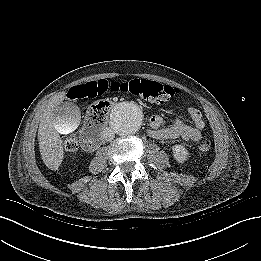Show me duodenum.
Masks as SVG:
<instances>
[{
  "instance_id": "duodenum-1",
  "label": "duodenum",
  "mask_w": 261,
  "mask_h": 261,
  "mask_svg": "<svg viewBox=\"0 0 261 261\" xmlns=\"http://www.w3.org/2000/svg\"><path fill=\"white\" fill-rule=\"evenodd\" d=\"M82 142L86 149L93 151L101 144L102 136L95 134L91 129H86L82 134Z\"/></svg>"
}]
</instances>
